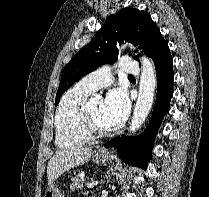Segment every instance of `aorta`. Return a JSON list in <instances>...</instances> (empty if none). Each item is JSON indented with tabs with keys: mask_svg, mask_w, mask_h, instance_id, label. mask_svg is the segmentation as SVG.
Listing matches in <instances>:
<instances>
[{
	"mask_svg": "<svg viewBox=\"0 0 209 197\" xmlns=\"http://www.w3.org/2000/svg\"><path fill=\"white\" fill-rule=\"evenodd\" d=\"M141 77L139 83V94L135 104L133 117L129 131L134 133L144 123L154 100V92L157 85L156 72L153 62L145 55L141 56ZM94 97L92 100H95Z\"/></svg>",
	"mask_w": 209,
	"mask_h": 197,
	"instance_id": "762f6f07",
	"label": "aorta"
}]
</instances>
